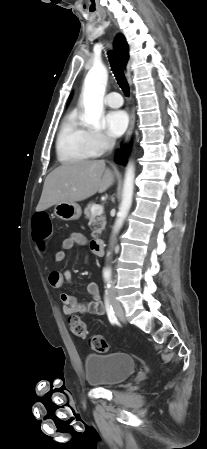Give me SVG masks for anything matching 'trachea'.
<instances>
[{"mask_svg": "<svg viewBox=\"0 0 207 449\" xmlns=\"http://www.w3.org/2000/svg\"><path fill=\"white\" fill-rule=\"evenodd\" d=\"M108 57H109V61L111 64V69L116 77V80H117L120 88L127 96H129V93H130L129 84L127 82V79L125 77V74L123 72V69H122L119 61L111 53H109Z\"/></svg>", "mask_w": 207, "mask_h": 449, "instance_id": "obj_1", "label": "trachea"}]
</instances>
